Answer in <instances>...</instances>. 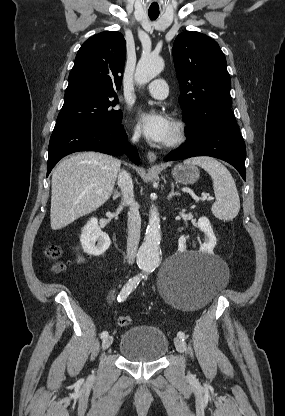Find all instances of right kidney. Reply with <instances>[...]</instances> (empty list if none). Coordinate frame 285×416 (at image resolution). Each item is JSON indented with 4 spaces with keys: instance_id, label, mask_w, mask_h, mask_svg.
<instances>
[{
    "instance_id": "ca27d5eb",
    "label": "right kidney",
    "mask_w": 285,
    "mask_h": 416,
    "mask_svg": "<svg viewBox=\"0 0 285 416\" xmlns=\"http://www.w3.org/2000/svg\"><path fill=\"white\" fill-rule=\"evenodd\" d=\"M80 242L84 252L90 256H102L111 244L108 234L100 230L97 218H90L84 226ZM95 242H98L97 246Z\"/></svg>"
}]
</instances>
